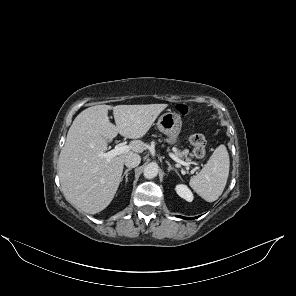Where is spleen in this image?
<instances>
[{
  "label": "spleen",
  "instance_id": "spleen-1",
  "mask_svg": "<svg viewBox=\"0 0 296 296\" xmlns=\"http://www.w3.org/2000/svg\"><path fill=\"white\" fill-rule=\"evenodd\" d=\"M229 166L227 149L219 145L202 170L190 179V187L207 202H214L224 191Z\"/></svg>",
  "mask_w": 296,
  "mask_h": 296
}]
</instances>
